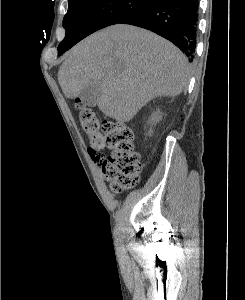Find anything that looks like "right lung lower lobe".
Masks as SVG:
<instances>
[{
    "label": "right lung lower lobe",
    "instance_id": "98d812e1",
    "mask_svg": "<svg viewBox=\"0 0 245 300\" xmlns=\"http://www.w3.org/2000/svg\"><path fill=\"white\" fill-rule=\"evenodd\" d=\"M119 23L155 32L192 58L196 47L198 0H153Z\"/></svg>",
    "mask_w": 245,
    "mask_h": 300
}]
</instances>
